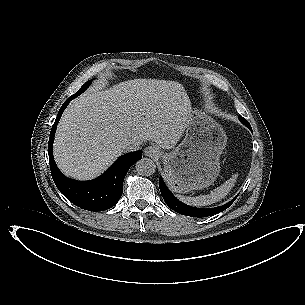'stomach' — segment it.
I'll use <instances>...</instances> for the list:
<instances>
[{"mask_svg":"<svg viewBox=\"0 0 305 305\" xmlns=\"http://www.w3.org/2000/svg\"><path fill=\"white\" fill-rule=\"evenodd\" d=\"M227 135L221 125L199 109H191L181 143L163 155L164 179L171 191L187 193L214 183Z\"/></svg>","mask_w":305,"mask_h":305,"instance_id":"stomach-1","label":"stomach"}]
</instances>
